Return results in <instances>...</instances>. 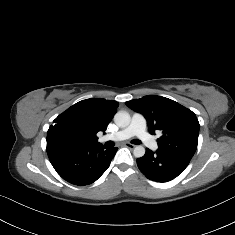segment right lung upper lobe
I'll return each mask as SVG.
<instances>
[{
	"instance_id": "1",
	"label": "right lung upper lobe",
	"mask_w": 235,
	"mask_h": 235,
	"mask_svg": "<svg viewBox=\"0 0 235 235\" xmlns=\"http://www.w3.org/2000/svg\"><path fill=\"white\" fill-rule=\"evenodd\" d=\"M118 102L102 98L82 100L62 114L49 127L47 145L71 144L95 146L96 134L105 132L108 124L117 112Z\"/></svg>"
}]
</instances>
